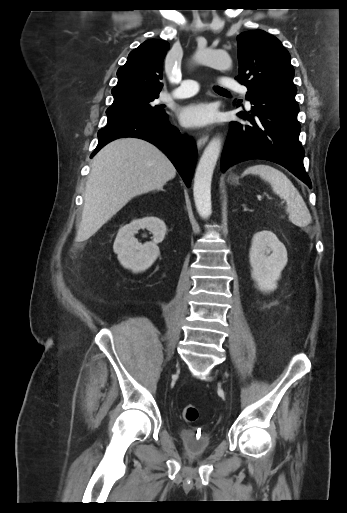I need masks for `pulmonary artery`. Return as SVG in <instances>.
<instances>
[{
  "label": "pulmonary artery",
  "instance_id": "pulmonary-artery-1",
  "mask_svg": "<svg viewBox=\"0 0 347 513\" xmlns=\"http://www.w3.org/2000/svg\"><path fill=\"white\" fill-rule=\"evenodd\" d=\"M221 86L226 87L228 89L237 91L242 94L247 93L246 87L238 84L237 82L231 80V79H223L220 82ZM199 90V84L198 82L194 80H183L181 82V85L173 91L172 96L174 98H187L195 95Z\"/></svg>",
  "mask_w": 347,
  "mask_h": 513
}]
</instances>
